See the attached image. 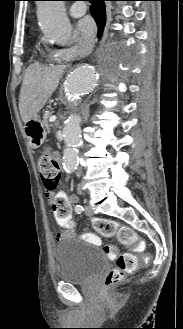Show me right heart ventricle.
<instances>
[{"label": "right heart ventricle", "mask_w": 183, "mask_h": 329, "mask_svg": "<svg viewBox=\"0 0 183 329\" xmlns=\"http://www.w3.org/2000/svg\"><path fill=\"white\" fill-rule=\"evenodd\" d=\"M44 57L49 60V61H53L57 59V55L56 52L50 51V50H46Z\"/></svg>", "instance_id": "right-heart-ventricle-1"}]
</instances>
